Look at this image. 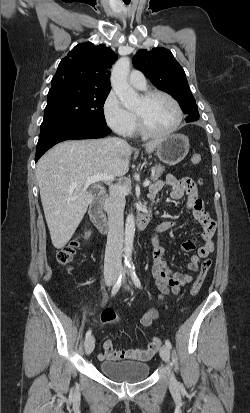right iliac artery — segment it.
Here are the masks:
<instances>
[{
	"label": "right iliac artery",
	"instance_id": "1",
	"mask_svg": "<svg viewBox=\"0 0 250 413\" xmlns=\"http://www.w3.org/2000/svg\"><path fill=\"white\" fill-rule=\"evenodd\" d=\"M124 277H125V273L123 272V273L119 276L118 280L116 281V283L114 284V286H113V288H112V291H111V295H112V296H114V295L119 291V289H120V287H121V285H122V282H123V280H124ZM90 336H91V330H88V331L86 332L85 338L87 339V338H89Z\"/></svg>",
	"mask_w": 250,
	"mask_h": 413
}]
</instances>
